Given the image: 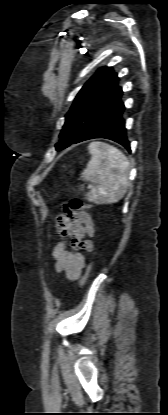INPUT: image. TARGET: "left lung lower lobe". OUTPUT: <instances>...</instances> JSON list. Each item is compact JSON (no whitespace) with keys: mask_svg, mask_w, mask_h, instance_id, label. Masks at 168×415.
Here are the masks:
<instances>
[{"mask_svg":"<svg viewBox=\"0 0 168 415\" xmlns=\"http://www.w3.org/2000/svg\"><path fill=\"white\" fill-rule=\"evenodd\" d=\"M121 97L122 93L105 106L76 143L94 138H105L113 140L131 151L130 143L126 137L125 120L123 118L125 106L121 101Z\"/></svg>","mask_w":168,"mask_h":415,"instance_id":"left-lung-lower-lobe-1","label":"left lung lower lobe"}]
</instances>
